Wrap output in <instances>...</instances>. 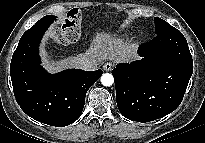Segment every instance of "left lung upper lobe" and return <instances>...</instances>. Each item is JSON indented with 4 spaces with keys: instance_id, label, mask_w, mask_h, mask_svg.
<instances>
[{
    "instance_id": "5c2ea615",
    "label": "left lung upper lobe",
    "mask_w": 205,
    "mask_h": 143,
    "mask_svg": "<svg viewBox=\"0 0 205 143\" xmlns=\"http://www.w3.org/2000/svg\"><path fill=\"white\" fill-rule=\"evenodd\" d=\"M177 29L167 23L165 20L155 17V31L156 34H163L167 32L176 31Z\"/></svg>"
}]
</instances>
